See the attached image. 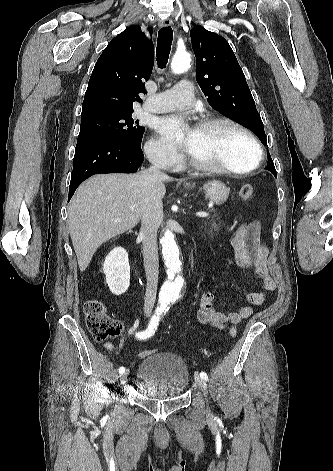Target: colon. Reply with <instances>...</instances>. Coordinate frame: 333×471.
<instances>
[{
    "label": "colon",
    "instance_id": "colon-1",
    "mask_svg": "<svg viewBox=\"0 0 333 471\" xmlns=\"http://www.w3.org/2000/svg\"><path fill=\"white\" fill-rule=\"evenodd\" d=\"M239 195L242 200H250L254 195V187L251 184H244L239 190ZM84 313L86 317V324L89 332L96 341H104L108 338H113L123 331V324L121 321L109 316L101 301L91 299L84 304ZM231 338L237 335V329L232 327L229 331ZM155 353V350H144L139 353L140 358H145Z\"/></svg>",
    "mask_w": 333,
    "mask_h": 471
}]
</instances>
